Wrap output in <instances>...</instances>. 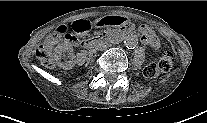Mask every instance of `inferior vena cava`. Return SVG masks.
<instances>
[{"mask_svg": "<svg viewBox=\"0 0 207 123\" xmlns=\"http://www.w3.org/2000/svg\"><path fill=\"white\" fill-rule=\"evenodd\" d=\"M106 48H107V45L104 44V43H102V44H100V45L98 46V49H99V50H105Z\"/></svg>", "mask_w": 207, "mask_h": 123, "instance_id": "obj_1", "label": "inferior vena cava"}]
</instances>
